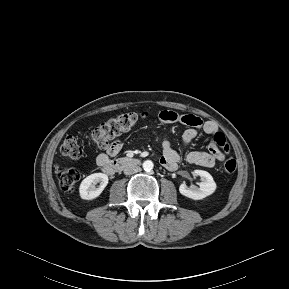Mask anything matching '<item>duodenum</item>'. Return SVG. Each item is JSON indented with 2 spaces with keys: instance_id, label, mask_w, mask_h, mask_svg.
Listing matches in <instances>:
<instances>
[{
  "instance_id": "1",
  "label": "duodenum",
  "mask_w": 289,
  "mask_h": 289,
  "mask_svg": "<svg viewBox=\"0 0 289 289\" xmlns=\"http://www.w3.org/2000/svg\"><path fill=\"white\" fill-rule=\"evenodd\" d=\"M140 161L137 158L123 157L105 164L102 169L107 174H113L126 168L137 166Z\"/></svg>"
}]
</instances>
